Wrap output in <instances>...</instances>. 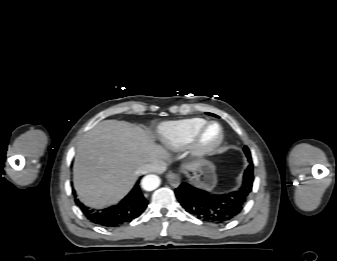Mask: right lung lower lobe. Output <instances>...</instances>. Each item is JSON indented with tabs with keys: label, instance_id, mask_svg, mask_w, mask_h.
<instances>
[{
	"label": "right lung lower lobe",
	"instance_id": "right-lung-lower-lobe-1",
	"mask_svg": "<svg viewBox=\"0 0 337 261\" xmlns=\"http://www.w3.org/2000/svg\"><path fill=\"white\" fill-rule=\"evenodd\" d=\"M138 184L139 181L117 205L107 209L90 210L77 199L76 203L91 222L104 227H119L140 216L147 207L148 201L143 196ZM73 194H75L74 190Z\"/></svg>",
	"mask_w": 337,
	"mask_h": 261
}]
</instances>
